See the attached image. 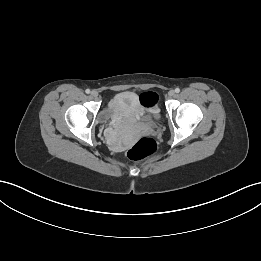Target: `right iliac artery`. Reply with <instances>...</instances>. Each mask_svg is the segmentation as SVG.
<instances>
[{
  "mask_svg": "<svg viewBox=\"0 0 261 261\" xmlns=\"http://www.w3.org/2000/svg\"><path fill=\"white\" fill-rule=\"evenodd\" d=\"M85 92H86L87 94H89V93H90V90H89V89H86Z\"/></svg>",
  "mask_w": 261,
  "mask_h": 261,
  "instance_id": "obj_1",
  "label": "right iliac artery"
}]
</instances>
